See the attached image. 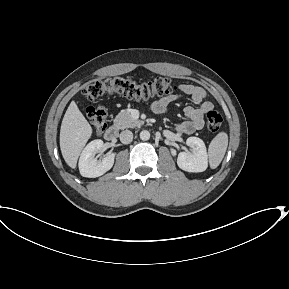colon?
Here are the masks:
<instances>
[{
  "mask_svg": "<svg viewBox=\"0 0 289 289\" xmlns=\"http://www.w3.org/2000/svg\"><path fill=\"white\" fill-rule=\"evenodd\" d=\"M176 87L166 77H157L151 81L140 82L129 77L116 76L104 80L92 81L86 84L83 95L89 100H95L106 94H120L127 98L148 101L155 97L171 94ZM88 119L97 135H101L107 127V112L101 106L89 107L87 109ZM207 127L216 132L220 129L223 118L214 110L207 113Z\"/></svg>",
  "mask_w": 289,
  "mask_h": 289,
  "instance_id": "obj_1",
  "label": "colon"
}]
</instances>
